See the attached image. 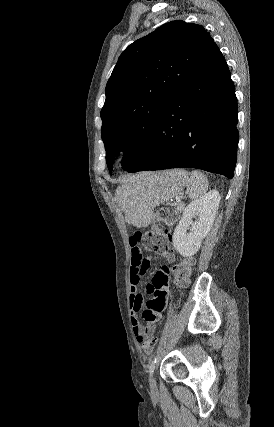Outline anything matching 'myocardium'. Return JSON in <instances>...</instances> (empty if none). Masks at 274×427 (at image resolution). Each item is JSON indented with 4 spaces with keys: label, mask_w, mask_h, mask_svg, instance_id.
<instances>
[{
    "label": "myocardium",
    "mask_w": 274,
    "mask_h": 427,
    "mask_svg": "<svg viewBox=\"0 0 274 427\" xmlns=\"http://www.w3.org/2000/svg\"><path fill=\"white\" fill-rule=\"evenodd\" d=\"M130 144H131V139L129 137H124L120 139L116 144V147L114 150L115 155L118 157L125 156L129 151Z\"/></svg>",
    "instance_id": "myocardium-1"
}]
</instances>
